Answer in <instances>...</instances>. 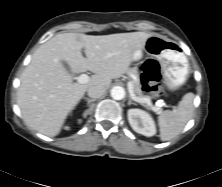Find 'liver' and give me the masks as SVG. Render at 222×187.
Instances as JSON below:
<instances>
[{
  "label": "liver",
  "instance_id": "liver-1",
  "mask_svg": "<svg viewBox=\"0 0 222 187\" xmlns=\"http://www.w3.org/2000/svg\"><path fill=\"white\" fill-rule=\"evenodd\" d=\"M152 35L63 33L52 37L34 52L21 75L17 104L25 123L46 136L58 135L85 92L96 85L106 88L112 79L126 73L135 50L142 48ZM62 61L73 73L89 70L94 75L85 84L73 83Z\"/></svg>",
  "mask_w": 222,
  "mask_h": 187
}]
</instances>
